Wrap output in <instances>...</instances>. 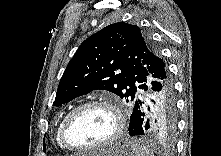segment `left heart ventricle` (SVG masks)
Segmentation results:
<instances>
[{
    "label": "left heart ventricle",
    "instance_id": "obj_1",
    "mask_svg": "<svg viewBox=\"0 0 221 156\" xmlns=\"http://www.w3.org/2000/svg\"><path fill=\"white\" fill-rule=\"evenodd\" d=\"M114 117L104 107H91L81 112L68 129V139L76 146H91L108 138L114 129Z\"/></svg>",
    "mask_w": 221,
    "mask_h": 156
}]
</instances>
